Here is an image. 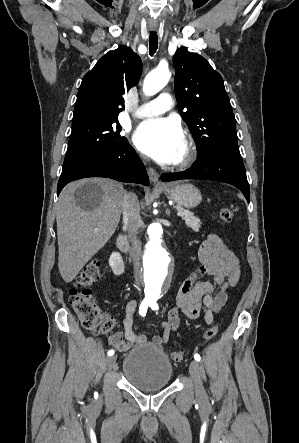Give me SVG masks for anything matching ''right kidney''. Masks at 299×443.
<instances>
[{
    "label": "right kidney",
    "mask_w": 299,
    "mask_h": 443,
    "mask_svg": "<svg viewBox=\"0 0 299 443\" xmlns=\"http://www.w3.org/2000/svg\"><path fill=\"white\" fill-rule=\"evenodd\" d=\"M109 265L113 271V273L118 276L124 271V262L123 259L118 252H113L109 258Z\"/></svg>",
    "instance_id": "right-kidney-1"
}]
</instances>
